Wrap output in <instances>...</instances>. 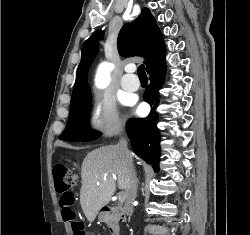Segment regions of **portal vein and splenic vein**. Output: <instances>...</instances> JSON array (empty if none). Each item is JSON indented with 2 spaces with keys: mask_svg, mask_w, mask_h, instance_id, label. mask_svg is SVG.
Wrapping results in <instances>:
<instances>
[{
  "mask_svg": "<svg viewBox=\"0 0 250 235\" xmlns=\"http://www.w3.org/2000/svg\"><path fill=\"white\" fill-rule=\"evenodd\" d=\"M124 198H125V193H124V192H120V193H119V200H120V201H123Z\"/></svg>",
  "mask_w": 250,
  "mask_h": 235,
  "instance_id": "obj_1",
  "label": "portal vein and splenic vein"
}]
</instances>
